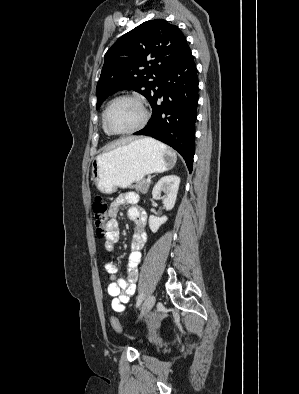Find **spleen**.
<instances>
[{
	"label": "spleen",
	"instance_id": "spleen-1",
	"mask_svg": "<svg viewBox=\"0 0 299 394\" xmlns=\"http://www.w3.org/2000/svg\"><path fill=\"white\" fill-rule=\"evenodd\" d=\"M157 144H159V145H161V146H163L161 143H159V142H157V141H155Z\"/></svg>",
	"mask_w": 299,
	"mask_h": 394
}]
</instances>
